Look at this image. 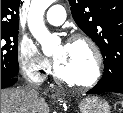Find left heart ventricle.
Listing matches in <instances>:
<instances>
[{"instance_id":"1","label":"left heart ventricle","mask_w":123,"mask_h":113,"mask_svg":"<svg viewBox=\"0 0 123 113\" xmlns=\"http://www.w3.org/2000/svg\"><path fill=\"white\" fill-rule=\"evenodd\" d=\"M60 73L66 78L86 81L93 73V55L86 44L76 42L58 46L54 51Z\"/></svg>"}]
</instances>
